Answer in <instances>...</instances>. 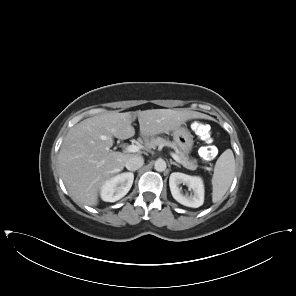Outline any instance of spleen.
I'll return each instance as SVG.
<instances>
[{
    "mask_svg": "<svg viewBox=\"0 0 296 296\" xmlns=\"http://www.w3.org/2000/svg\"><path fill=\"white\" fill-rule=\"evenodd\" d=\"M235 159L231 149L225 150L214 167L212 183V201L219 202L228 191L234 177Z\"/></svg>",
    "mask_w": 296,
    "mask_h": 296,
    "instance_id": "3e777b00",
    "label": "spleen"
}]
</instances>
